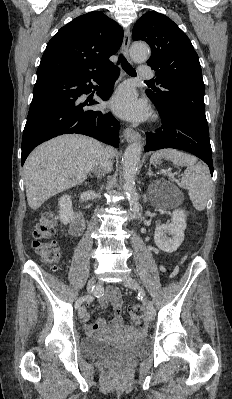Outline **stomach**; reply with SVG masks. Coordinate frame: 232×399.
I'll return each instance as SVG.
<instances>
[{
	"mask_svg": "<svg viewBox=\"0 0 232 399\" xmlns=\"http://www.w3.org/2000/svg\"><path fill=\"white\" fill-rule=\"evenodd\" d=\"M161 158H158L157 162H160Z\"/></svg>",
	"mask_w": 232,
	"mask_h": 399,
	"instance_id": "stomach-1",
	"label": "stomach"
}]
</instances>
